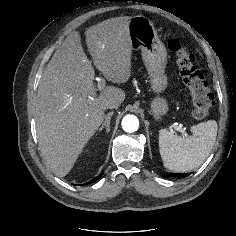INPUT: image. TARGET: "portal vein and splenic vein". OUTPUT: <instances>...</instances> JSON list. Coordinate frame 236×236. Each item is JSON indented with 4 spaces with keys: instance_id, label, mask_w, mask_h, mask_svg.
<instances>
[{
    "instance_id": "1",
    "label": "portal vein and splenic vein",
    "mask_w": 236,
    "mask_h": 236,
    "mask_svg": "<svg viewBox=\"0 0 236 236\" xmlns=\"http://www.w3.org/2000/svg\"><path fill=\"white\" fill-rule=\"evenodd\" d=\"M97 81H98L97 87H98L99 90H101L105 85V80L103 78H97ZM174 128L177 131L181 132V134L183 136H187V133L182 129V125H176V126H174Z\"/></svg>"
}]
</instances>
